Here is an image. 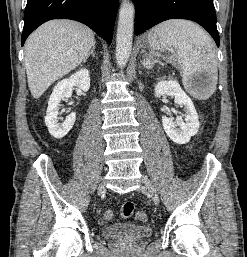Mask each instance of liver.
<instances>
[{
  "instance_id": "liver-1",
  "label": "liver",
  "mask_w": 247,
  "mask_h": 257,
  "mask_svg": "<svg viewBox=\"0 0 247 257\" xmlns=\"http://www.w3.org/2000/svg\"><path fill=\"white\" fill-rule=\"evenodd\" d=\"M94 43V32L76 21L56 19L37 28L25 46L31 95L41 97L52 83L78 67Z\"/></svg>"
}]
</instances>
